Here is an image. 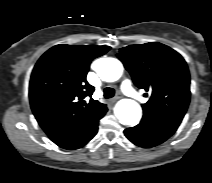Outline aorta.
<instances>
[{"mask_svg": "<svg viewBox=\"0 0 212 183\" xmlns=\"http://www.w3.org/2000/svg\"><path fill=\"white\" fill-rule=\"evenodd\" d=\"M97 73L103 81L114 82L121 77L123 65L115 58H102L97 64ZM114 112L119 121L128 126L138 124L142 116L140 105L131 99L120 100Z\"/></svg>", "mask_w": 212, "mask_h": 183, "instance_id": "aorta-1", "label": "aorta"}]
</instances>
